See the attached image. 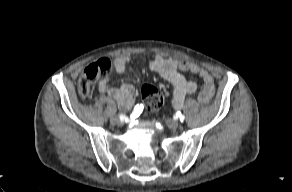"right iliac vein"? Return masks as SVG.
<instances>
[{"instance_id":"1","label":"right iliac vein","mask_w":292,"mask_h":192,"mask_svg":"<svg viewBox=\"0 0 292 192\" xmlns=\"http://www.w3.org/2000/svg\"><path fill=\"white\" fill-rule=\"evenodd\" d=\"M110 121L112 124H121L122 123V121L116 116L112 117Z\"/></svg>"}]
</instances>
